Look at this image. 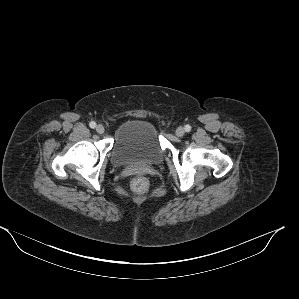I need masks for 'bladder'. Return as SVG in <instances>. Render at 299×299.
<instances>
[{
	"label": "bladder",
	"instance_id": "obj_1",
	"mask_svg": "<svg viewBox=\"0 0 299 299\" xmlns=\"http://www.w3.org/2000/svg\"><path fill=\"white\" fill-rule=\"evenodd\" d=\"M163 157L157 128L147 119H130L118 129L110 153L117 166L154 164Z\"/></svg>",
	"mask_w": 299,
	"mask_h": 299
}]
</instances>
